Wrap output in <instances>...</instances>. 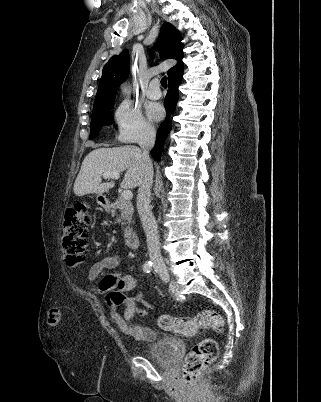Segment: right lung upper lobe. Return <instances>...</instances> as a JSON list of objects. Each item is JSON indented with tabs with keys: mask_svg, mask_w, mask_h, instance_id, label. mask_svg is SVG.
<instances>
[{
	"mask_svg": "<svg viewBox=\"0 0 321 402\" xmlns=\"http://www.w3.org/2000/svg\"><path fill=\"white\" fill-rule=\"evenodd\" d=\"M181 40V34L172 24L167 22L163 24L154 48L160 52L162 59L174 58L178 60V64L167 72L168 79L176 73L183 71V43ZM128 65V50L122 51L119 55H114L105 64L93 108L114 102L116 95L115 87L128 77Z\"/></svg>",
	"mask_w": 321,
	"mask_h": 402,
	"instance_id": "obj_1",
	"label": "right lung upper lobe"
}]
</instances>
